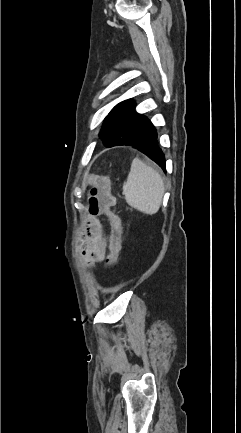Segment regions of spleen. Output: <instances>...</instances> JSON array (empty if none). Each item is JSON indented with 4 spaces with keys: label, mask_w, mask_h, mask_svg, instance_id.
Listing matches in <instances>:
<instances>
[{
    "label": "spleen",
    "mask_w": 241,
    "mask_h": 433,
    "mask_svg": "<svg viewBox=\"0 0 241 433\" xmlns=\"http://www.w3.org/2000/svg\"><path fill=\"white\" fill-rule=\"evenodd\" d=\"M123 194L129 206L148 215L158 212L164 194V183L160 174L135 158L132 161Z\"/></svg>",
    "instance_id": "1"
}]
</instances>
